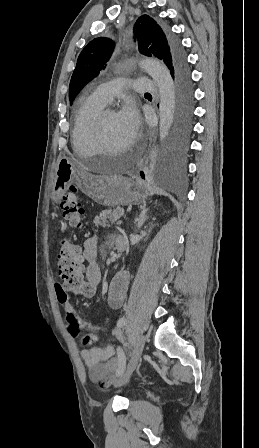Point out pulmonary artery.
Listing matches in <instances>:
<instances>
[{"instance_id": "e3ab8cb5", "label": "pulmonary artery", "mask_w": 259, "mask_h": 448, "mask_svg": "<svg viewBox=\"0 0 259 448\" xmlns=\"http://www.w3.org/2000/svg\"><path fill=\"white\" fill-rule=\"evenodd\" d=\"M122 80L116 79L109 81L107 83H103L101 85H98L95 88V94L96 96L105 104H108L112 101L113 97L117 94L119 91V88L115 86L116 81Z\"/></svg>"}]
</instances>
